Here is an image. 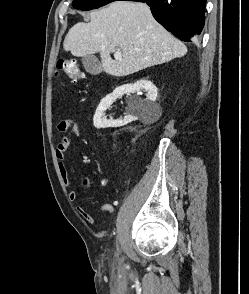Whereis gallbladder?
<instances>
[{"instance_id": "obj_1", "label": "gallbladder", "mask_w": 249, "mask_h": 294, "mask_svg": "<svg viewBox=\"0 0 249 294\" xmlns=\"http://www.w3.org/2000/svg\"><path fill=\"white\" fill-rule=\"evenodd\" d=\"M82 64L86 72L91 75H98L102 72V66L99 60L92 54L83 56Z\"/></svg>"}]
</instances>
